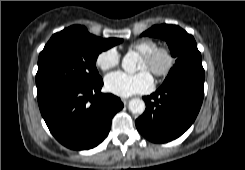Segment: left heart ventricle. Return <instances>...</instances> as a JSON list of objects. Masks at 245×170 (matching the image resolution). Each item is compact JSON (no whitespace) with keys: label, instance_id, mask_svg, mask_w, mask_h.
<instances>
[{"label":"left heart ventricle","instance_id":"1","mask_svg":"<svg viewBox=\"0 0 245 170\" xmlns=\"http://www.w3.org/2000/svg\"><path fill=\"white\" fill-rule=\"evenodd\" d=\"M165 57L160 55L154 62L149 63L147 61H145L144 59L141 58L140 62H139V66L138 69L139 70H143V69H148V70H159L161 68L164 67L165 65Z\"/></svg>","mask_w":245,"mask_h":170}]
</instances>
